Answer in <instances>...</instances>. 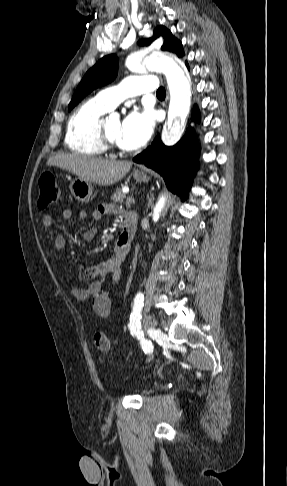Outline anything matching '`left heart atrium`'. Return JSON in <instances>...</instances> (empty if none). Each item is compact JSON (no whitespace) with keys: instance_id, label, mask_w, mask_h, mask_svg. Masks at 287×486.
<instances>
[{"instance_id":"left-heart-atrium-1","label":"left heart atrium","mask_w":287,"mask_h":486,"mask_svg":"<svg viewBox=\"0 0 287 486\" xmlns=\"http://www.w3.org/2000/svg\"><path fill=\"white\" fill-rule=\"evenodd\" d=\"M154 118L150 110L133 111L121 123V146L124 149H137L151 137Z\"/></svg>"}]
</instances>
